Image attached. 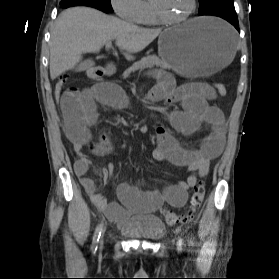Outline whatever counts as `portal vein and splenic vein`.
<instances>
[{
	"label": "portal vein and splenic vein",
	"mask_w": 279,
	"mask_h": 279,
	"mask_svg": "<svg viewBox=\"0 0 279 279\" xmlns=\"http://www.w3.org/2000/svg\"><path fill=\"white\" fill-rule=\"evenodd\" d=\"M111 46H112L111 41H108V42L106 43V48L109 49V48H111Z\"/></svg>",
	"instance_id": "obj_1"
}]
</instances>
